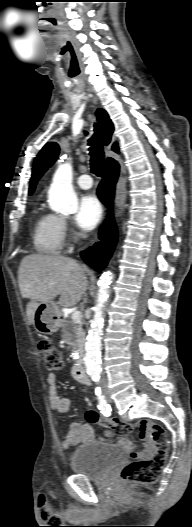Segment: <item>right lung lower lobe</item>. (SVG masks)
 <instances>
[{
	"label": "right lung lower lobe",
	"mask_w": 192,
	"mask_h": 527,
	"mask_svg": "<svg viewBox=\"0 0 192 527\" xmlns=\"http://www.w3.org/2000/svg\"><path fill=\"white\" fill-rule=\"evenodd\" d=\"M118 173L119 165L115 160L105 165L98 194L100 200L107 206L113 199ZM99 239H101L100 242L81 254L85 262L98 272L107 265L117 241V231L112 214H109L106 223L101 227Z\"/></svg>",
	"instance_id": "right-lung-lower-lobe-1"
}]
</instances>
